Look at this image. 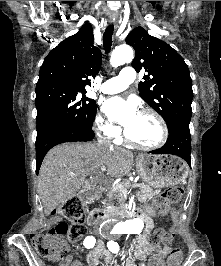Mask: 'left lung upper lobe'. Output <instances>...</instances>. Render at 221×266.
Listing matches in <instances>:
<instances>
[{
    "mask_svg": "<svg viewBox=\"0 0 221 266\" xmlns=\"http://www.w3.org/2000/svg\"><path fill=\"white\" fill-rule=\"evenodd\" d=\"M126 43L135 49L132 67L137 72L141 69L148 72L138 86L140 97L164 118L168 127L190 123L192 79L184 59L142 27L132 30Z\"/></svg>",
    "mask_w": 221,
    "mask_h": 266,
    "instance_id": "left-lung-upper-lobe-1",
    "label": "left lung upper lobe"
}]
</instances>
